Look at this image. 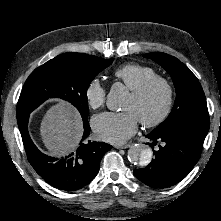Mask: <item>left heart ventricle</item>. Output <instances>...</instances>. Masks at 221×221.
<instances>
[{
	"label": "left heart ventricle",
	"mask_w": 221,
	"mask_h": 221,
	"mask_svg": "<svg viewBox=\"0 0 221 221\" xmlns=\"http://www.w3.org/2000/svg\"><path fill=\"white\" fill-rule=\"evenodd\" d=\"M164 101V89L158 85L141 100L134 98L130 94L123 105V110L134 112L139 120H150L161 112Z\"/></svg>",
	"instance_id": "obj_1"
}]
</instances>
